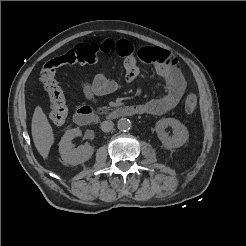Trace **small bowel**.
<instances>
[{"label": "small bowel", "instance_id": "c3829d8e", "mask_svg": "<svg viewBox=\"0 0 246 246\" xmlns=\"http://www.w3.org/2000/svg\"><path fill=\"white\" fill-rule=\"evenodd\" d=\"M96 54H117L124 58L125 80L133 82L140 74L137 57L151 63L159 77L165 82V91L160 98H153L140 104L142 114L162 115L174 109L186 90V81L178 58L170 52L157 47H145L135 51L127 40L105 39L102 42L86 44ZM80 86L85 97L95 103L100 96L111 94L119 89L120 83L104 73L97 74L93 80H81Z\"/></svg>", "mask_w": 246, "mask_h": 246}]
</instances>
